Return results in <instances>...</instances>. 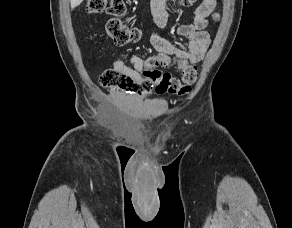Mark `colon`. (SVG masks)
I'll list each match as a JSON object with an SVG mask.
<instances>
[{
    "mask_svg": "<svg viewBox=\"0 0 292 228\" xmlns=\"http://www.w3.org/2000/svg\"><path fill=\"white\" fill-rule=\"evenodd\" d=\"M196 0H179L183 6H189ZM85 10L88 14L107 13L109 18L106 21L105 29L107 35L118 45L136 43L142 36V30L138 27L128 26L120 19L126 12L125 0H87ZM218 20L219 16H214ZM161 62L168 64L166 58H149L148 69L142 74L139 81L134 80L127 74L114 69L104 71L100 76V84L104 87H116L127 93L143 96L156 91L159 93L169 92L179 96L187 95L191 92L197 80V70L194 66L178 64L181 79L173 78L169 74H162L153 69Z\"/></svg>",
    "mask_w": 292,
    "mask_h": 228,
    "instance_id": "obj_1",
    "label": "colon"
}]
</instances>
